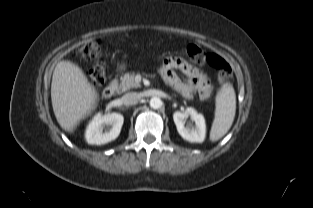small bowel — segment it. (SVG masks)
I'll return each mask as SVG.
<instances>
[{
  "instance_id": "c3829d8e",
  "label": "small bowel",
  "mask_w": 313,
  "mask_h": 208,
  "mask_svg": "<svg viewBox=\"0 0 313 208\" xmlns=\"http://www.w3.org/2000/svg\"><path fill=\"white\" fill-rule=\"evenodd\" d=\"M175 70L181 71L187 80L182 81ZM161 73L165 81L184 97L189 98L195 93H198L203 99L210 96L211 83L206 74L181 58L169 57L165 59Z\"/></svg>"
}]
</instances>
